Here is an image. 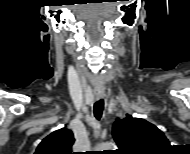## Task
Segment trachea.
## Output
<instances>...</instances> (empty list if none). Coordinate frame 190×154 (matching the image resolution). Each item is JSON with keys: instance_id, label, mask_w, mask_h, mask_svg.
<instances>
[{"instance_id": "trachea-1", "label": "trachea", "mask_w": 190, "mask_h": 154, "mask_svg": "<svg viewBox=\"0 0 190 154\" xmlns=\"http://www.w3.org/2000/svg\"><path fill=\"white\" fill-rule=\"evenodd\" d=\"M103 109H104V102L102 99L98 100L95 102L94 104V116L97 120H100L102 117V113H103Z\"/></svg>"}]
</instances>
